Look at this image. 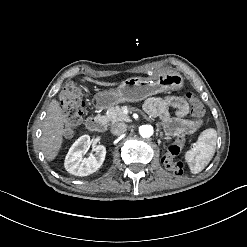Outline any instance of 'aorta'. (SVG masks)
<instances>
[{"label": "aorta", "instance_id": "1", "mask_svg": "<svg viewBox=\"0 0 247 247\" xmlns=\"http://www.w3.org/2000/svg\"><path fill=\"white\" fill-rule=\"evenodd\" d=\"M140 135L143 137V138H148V137H151L153 135V127L151 125H143L140 127Z\"/></svg>", "mask_w": 247, "mask_h": 247}]
</instances>
